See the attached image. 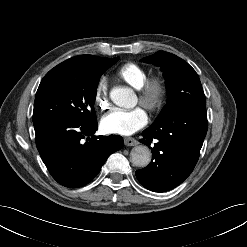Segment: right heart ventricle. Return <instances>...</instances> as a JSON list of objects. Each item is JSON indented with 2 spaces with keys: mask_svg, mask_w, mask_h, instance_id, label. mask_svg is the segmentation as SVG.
<instances>
[{
  "mask_svg": "<svg viewBox=\"0 0 247 247\" xmlns=\"http://www.w3.org/2000/svg\"><path fill=\"white\" fill-rule=\"evenodd\" d=\"M116 77L130 87L138 90L146 81L148 74L142 66L134 62H127L119 67Z\"/></svg>",
  "mask_w": 247,
  "mask_h": 247,
  "instance_id": "e07e8e85",
  "label": "right heart ventricle"
}]
</instances>
